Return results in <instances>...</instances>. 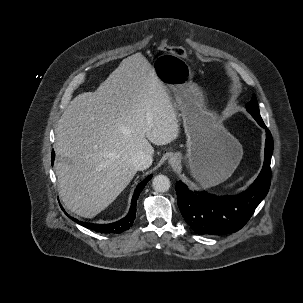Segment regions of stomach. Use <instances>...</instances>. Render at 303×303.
<instances>
[{
    "label": "stomach",
    "mask_w": 303,
    "mask_h": 303,
    "mask_svg": "<svg viewBox=\"0 0 303 303\" xmlns=\"http://www.w3.org/2000/svg\"><path fill=\"white\" fill-rule=\"evenodd\" d=\"M152 68L166 91L172 92L180 111L187 136L185 160L192 176L205 188L224 182L242 159L241 144L218 122L216 113L206 108L203 92L192 82L185 60L164 54Z\"/></svg>",
    "instance_id": "1"
}]
</instances>
